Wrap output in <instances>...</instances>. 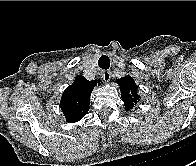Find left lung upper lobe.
Segmentation results:
<instances>
[{"instance_id":"obj_1","label":"left lung upper lobe","mask_w":196,"mask_h":166,"mask_svg":"<svg viewBox=\"0 0 196 166\" xmlns=\"http://www.w3.org/2000/svg\"><path fill=\"white\" fill-rule=\"evenodd\" d=\"M119 84L122 100L126 110H130L139 102V96L137 94V86L135 81L129 77H123L116 81Z\"/></svg>"}]
</instances>
